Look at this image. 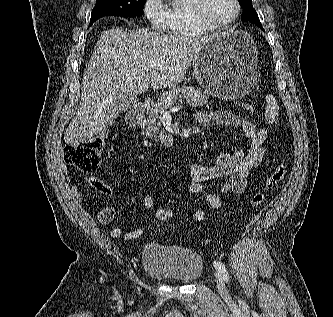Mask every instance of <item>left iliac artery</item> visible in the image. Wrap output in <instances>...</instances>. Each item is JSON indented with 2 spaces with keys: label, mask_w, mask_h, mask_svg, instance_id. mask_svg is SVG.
I'll return each mask as SVG.
<instances>
[{
  "label": "left iliac artery",
  "mask_w": 333,
  "mask_h": 317,
  "mask_svg": "<svg viewBox=\"0 0 333 317\" xmlns=\"http://www.w3.org/2000/svg\"><path fill=\"white\" fill-rule=\"evenodd\" d=\"M214 266L216 267V269L218 270V272L221 274V276L223 277V279L229 283V274L227 272L226 267L224 266V264L220 261H214Z\"/></svg>",
  "instance_id": "obj_1"
}]
</instances>
